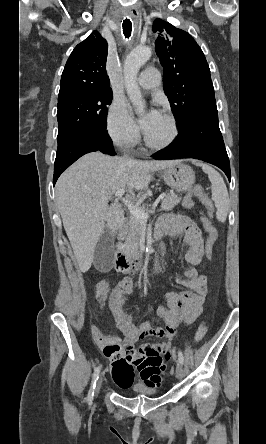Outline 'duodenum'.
<instances>
[{"label": "duodenum", "instance_id": "410a0bca", "mask_svg": "<svg viewBox=\"0 0 266 444\" xmlns=\"http://www.w3.org/2000/svg\"><path fill=\"white\" fill-rule=\"evenodd\" d=\"M115 268L119 272L126 274H132L139 269V267L134 265L133 261L128 256L122 241H119L117 244L115 252Z\"/></svg>", "mask_w": 266, "mask_h": 444}]
</instances>
